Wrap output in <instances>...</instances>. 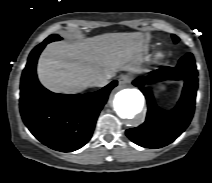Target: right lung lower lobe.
<instances>
[{"instance_id": "98d812e1", "label": "right lung lower lobe", "mask_w": 212, "mask_h": 183, "mask_svg": "<svg viewBox=\"0 0 212 183\" xmlns=\"http://www.w3.org/2000/svg\"><path fill=\"white\" fill-rule=\"evenodd\" d=\"M49 42L51 39L47 38L29 55L21 77L20 112L25 125L40 142L57 151L71 152L91 138L99 112L117 81L93 93L50 92L36 75L38 57Z\"/></svg>"}]
</instances>
